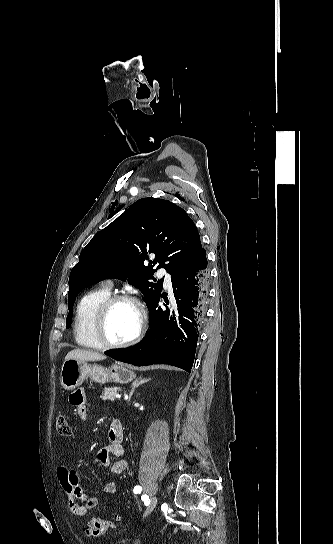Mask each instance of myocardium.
Here are the masks:
<instances>
[{
    "mask_svg": "<svg viewBox=\"0 0 333 544\" xmlns=\"http://www.w3.org/2000/svg\"><path fill=\"white\" fill-rule=\"evenodd\" d=\"M118 303H129L133 305L139 313V326L135 334L122 342H113L109 340L106 333V323L111 309ZM146 328V316L140 303L132 296L127 294L110 295L99 306L93 321V333L97 342L104 348L117 349L125 348L135 344L143 335Z\"/></svg>",
    "mask_w": 333,
    "mask_h": 544,
    "instance_id": "1",
    "label": "myocardium"
}]
</instances>
